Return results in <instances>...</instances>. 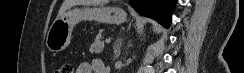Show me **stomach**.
<instances>
[{
	"label": "stomach",
	"instance_id": "0dacf381",
	"mask_svg": "<svg viewBox=\"0 0 244 73\" xmlns=\"http://www.w3.org/2000/svg\"><path fill=\"white\" fill-rule=\"evenodd\" d=\"M82 20L122 24L127 14L117 7L71 8L52 23L46 37V46L51 52H60L68 47L74 26Z\"/></svg>",
	"mask_w": 244,
	"mask_h": 73
}]
</instances>
